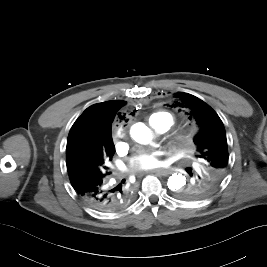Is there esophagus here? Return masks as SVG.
Wrapping results in <instances>:
<instances>
[{
    "instance_id": "34e87169",
    "label": "esophagus",
    "mask_w": 267,
    "mask_h": 267,
    "mask_svg": "<svg viewBox=\"0 0 267 267\" xmlns=\"http://www.w3.org/2000/svg\"><path fill=\"white\" fill-rule=\"evenodd\" d=\"M152 173H155V174L160 175V176H168L171 174V170L160 168V169L152 170Z\"/></svg>"
}]
</instances>
